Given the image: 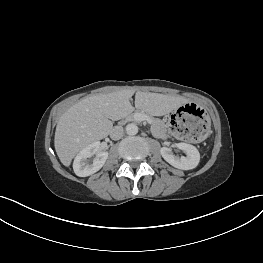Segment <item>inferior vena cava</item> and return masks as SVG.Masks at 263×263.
Returning <instances> with one entry per match:
<instances>
[{
    "label": "inferior vena cava",
    "instance_id": "602c4592",
    "mask_svg": "<svg viewBox=\"0 0 263 263\" xmlns=\"http://www.w3.org/2000/svg\"><path fill=\"white\" fill-rule=\"evenodd\" d=\"M123 134H124L123 127L115 126L112 128V130L110 132V138L112 140H119L123 137Z\"/></svg>",
    "mask_w": 263,
    "mask_h": 263
}]
</instances>
